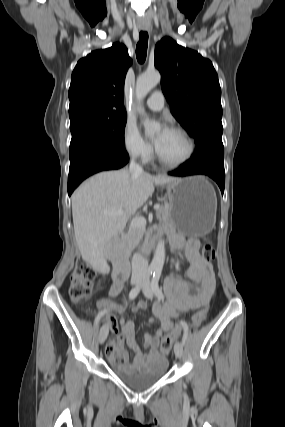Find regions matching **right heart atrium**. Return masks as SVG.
I'll return each instance as SVG.
<instances>
[{
	"label": "right heart atrium",
	"mask_w": 285,
	"mask_h": 427,
	"mask_svg": "<svg viewBox=\"0 0 285 427\" xmlns=\"http://www.w3.org/2000/svg\"><path fill=\"white\" fill-rule=\"evenodd\" d=\"M123 146L125 151L133 158L148 161L152 156V148L143 138L137 125L127 121L123 129Z\"/></svg>",
	"instance_id": "right-heart-atrium-1"
}]
</instances>
